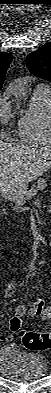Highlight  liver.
<instances>
[{"instance_id": "1", "label": "liver", "mask_w": 51, "mask_h": 393, "mask_svg": "<svg viewBox=\"0 0 51 393\" xmlns=\"http://www.w3.org/2000/svg\"><path fill=\"white\" fill-rule=\"evenodd\" d=\"M51 168L49 147L0 142V191L13 193L27 188Z\"/></svg>"}]
</instances>
